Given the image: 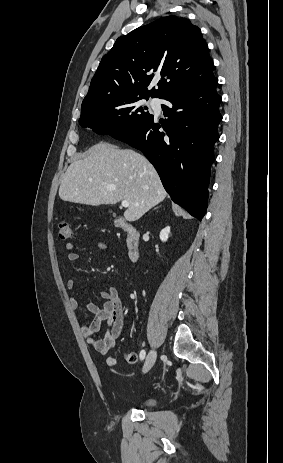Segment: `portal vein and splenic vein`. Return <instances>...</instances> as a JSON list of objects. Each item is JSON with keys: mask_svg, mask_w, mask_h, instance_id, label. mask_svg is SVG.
Listing matches in <instances>:
<instances>
[{"mask_svg": "<svg viewBox=\"0 0 283 463\" xmlns=\"http://www.w3.org/2000/svg\"><path fill=\"white\" fill-rule=\"evenodd\" d=\"M122 206L123 207H128L129 206V202L127 200H123L122 201Z\"/></svg>", "mask_w": 283, "mask_h": 463, "instance_id": "portal-vein-and-splenic-vein-1", "label": "portal vein and splenic vein"}]
</instances>
